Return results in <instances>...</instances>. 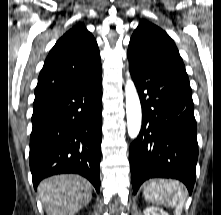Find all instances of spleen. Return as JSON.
<instances>
[{
  "label": "spleen",
  "mask_w": 221,
  "mask_h": 215,
  "mask_svg": "<svg viewBox=\"0 0 221 215\" xmlns=\"http://www.w3.org/2000/svg\"><path fill=\"white\" fill-rule=\"evenodd\" d=\"M143 194L152 203L174 207L176 215H181L186 201L183 185L174 180H153L145 186Z\"/></svg>",
  "instance_id": "obj_1"
}]
</instances>
